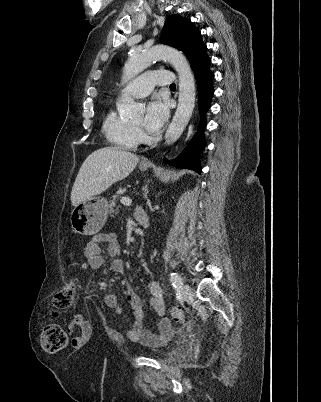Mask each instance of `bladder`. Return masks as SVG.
I'll list each match as a JSON object with an SVG mask.
<instances>
[{"label":"bladder","mask_w":321,"mask_h":402,"mask_svg":"<svg viewBox=\"0 0 321 402\" xmlns=\"http://www.w3.org/2000/svg\"><path fill=\"white\" fill-rule=\"evenodd\" d=\"M168 345H169V342H168V341L165 342V343H163V344L161 345V346L165 349L164 351H162V352L159 353V354L162 356L163 359H165L166 357L169 356V352H168V350H167Z\"/></svg>","instance_id":"1"}]
</instances>
